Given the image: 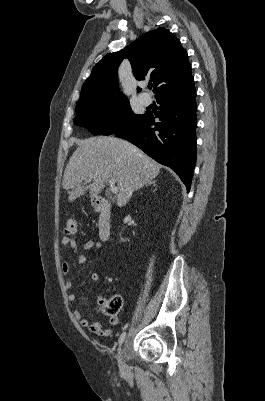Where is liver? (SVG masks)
<instances>
[{"label":"liver","mask_w":265,"mask_h":401,"mask_svg":"<svg viewBox=\"0 0 265 401\" xmlns=\"http://www.w3.org/2000/svg\"><path fill=\"white\" fill-rule=\"evenodd\" d=\"M76 142L78 146L69 158L63 178V188L68 190L70 203L86 190L90 196H96L105 182L114 178L119 190L117 205L124 207L133 190L159 174L160 164L127 140L115 136H91ZM95 172L96 176H90ZM83 180L90 184L82 186Z\"/></svg>","instance_id":"6515ba94"}]
</instances>
